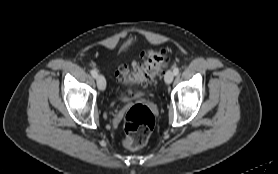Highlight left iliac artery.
<instances>
[{"instance_id":"left-iliac-artery-1","label":"left iliac artery","mask_w":278,"mask_h":174,"mask_svg":"<svg viewBox=\"0 0 278 174\" xmlns=\"http://www.w3.org/2000/svg\"><path fill=\"white\" fill-rule=\"evenodd\" d=\"M173 73H174V75H178V74H179V68H178V67H175V68L173 69Z\"/></svg>"}]
</instances>
